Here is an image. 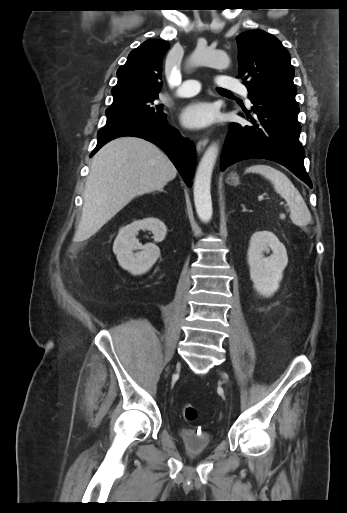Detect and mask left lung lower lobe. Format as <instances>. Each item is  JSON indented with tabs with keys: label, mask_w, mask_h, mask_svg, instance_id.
Returning <instances> with one entry per match:
<instances>
[{
	"label": "left lung lower lobe",
	"mask_w": 347,
	"mask_h": 513,
	"mask_svg": "<svg viewBox=\"0 0 347 513\" xmlns=\"http://www.w3.org/2000/svg\"><path fill=\"white\" fill-rule=\"evenodd\" d=\"M253 106L243 123H231L220 167L249 158H264L282 164L304 181L312 183L304 167V149L299 141L301 126L295 95L249 93ZM251 112V114H250Z\"/></svg>",
	"instance_id": "1"
}]
</instances>
